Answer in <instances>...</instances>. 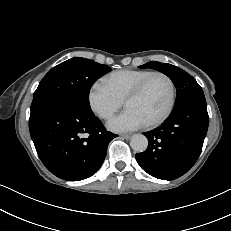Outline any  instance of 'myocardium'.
Returning <instances> with one entry per match:
<instances>
[{"label": "myocardium", "instance_id": "obj_1", "mask_svg": "<svg viewBox=\"0 0 231 231\" xmlns=\"http://www.w3.org/2000/svg\"><path fill=\"white\" fill-rule=\"evenodd\" d=\"M157 76H162L168 80L171 87V98L167 110L156 120L146 123V126L150 128L157 127L162 123H164L170 117V115L172 114L175 108L176 100H177V86L174 79L165 72L162 71L153 72L148 77H146L139 85H137L136 88L133 91H131L124 100V105L126 106V104L129 101L140 97L145 91V89L147 88V86L149 85V83L152 81V79Z\"/></svg>", "mask_w": 231, "mask_h": 231}]
</instances>
